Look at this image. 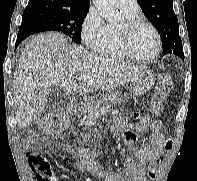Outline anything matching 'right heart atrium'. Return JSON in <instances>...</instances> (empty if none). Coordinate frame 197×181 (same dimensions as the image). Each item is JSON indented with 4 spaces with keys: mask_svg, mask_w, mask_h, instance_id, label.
<instances>
[{
    "mask_svg": "<svg viewBox=\"0 0 197 181\" xmlns=\"http://www.w3.org/2000/svg\"><path fill=\"white\" fill-rule=\"evenodd\" d=\"M108 26L95 7H90L81 24V38L91 49H98L107 34Z\"/></svg>",
    "mask_w": 197,
    "mask_h": 181,
    "instance_id": "1",
    "label": "right heart atrium"
}]
</instances>
